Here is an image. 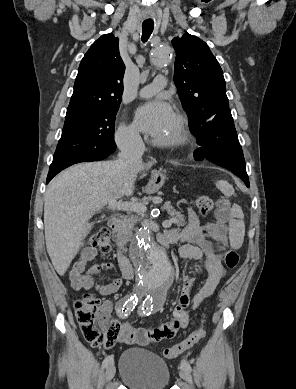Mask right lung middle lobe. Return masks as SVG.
<instances>
[{
    "instance_id": "dd1d6c3e",
    "label": "right lung middle lobe",
    "mask_w": 296,
    "mask_h": 389,
    "mask_svg": "<svg viewBox=\"0 0 296 389\" xmlns=\"http://www.w3.org/2000/svg\"><path fill=\"white\" fill-rule=\"evenodd\" d=\"M119 106L99 108L85 115L65 119L50 168L65 169L80 162L99 161L112 153L114 122Z\"/></svg>"
}]
</instances>
